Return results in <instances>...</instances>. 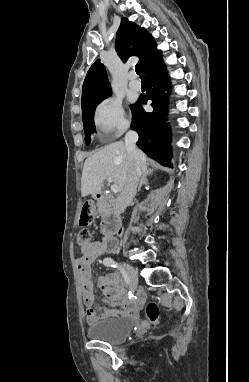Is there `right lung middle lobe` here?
Instances as JSON below:
<instances>
[{
    "mask_svg": "<svg viewBox=\"0 0 249 382\" xmlns=\"http://www.w3.org/2000/svg\"><path fill=\"white\" fill-rule=\"evenodd\" d=\"M105 98L98 99L95 101H92L84 110H82V118H83V124H84V131H85V141L86 144L89 145L91 142L90 135L94 132L95 130V125H94V112L96 106ZM133 105H131V108Z\"/></svg>",
    "mask_w": 249,
    "mask_h": 382,
    "instance_id": "obj_1",
    "label": "right lung middle lobe"
}]
</instances>
